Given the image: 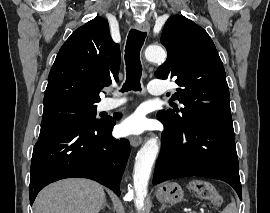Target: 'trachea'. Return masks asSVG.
Listing matches in <instances>:
<instances>
[{"label":"trachea","instance_id":"1","mask_svg":"<svg viewBox=\"0 0 270 213\" xmlns=\"http://www.w3.org/2000/svg\"><path fill=\"white\" fill-rule=\"evenodd\" d=\"M146 32L131 29L127 37L125 47L126 82L122 91H139L141 89L140 79L142 65L140 61V50L146 38Z\"/></svg>","mask_w":270,"mask_h":213}]
</instances>
